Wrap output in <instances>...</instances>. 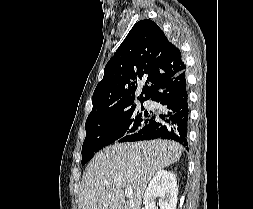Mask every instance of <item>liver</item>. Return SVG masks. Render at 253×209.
<instances>
[{"instance_id":"6515ba94","label":"liver","mask_w":253,"mask_h":209,"mask_svg":"<svg viewBox=\"0 0 253 209\" xmlns=\"http://www.w3.org/2000/svg\"><path fill=\"white\" fill-rule=\"evenodd\" d=\"M183 147L170 140L116 143L90 161L79 195L80 209H141L151 177L177 162ZM133 194L125 200L124 189Z\"/></svg>"}]
</instances>
